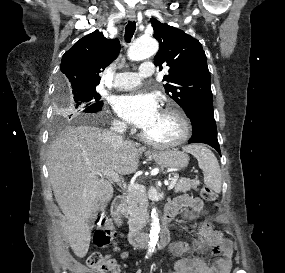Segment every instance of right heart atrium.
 <instances>
[{
	"label": "right heart atrium",
	"instance_id": "1",
	"mask_svg": "<svg viewBox=\"0 0 285 273\" xmlns=\"http://www.w3.org/2000/svg\"><path fill=\"white\" fill-rule=\"evenodd\" d=\"M115 125L119 128V129H123L125 127V124L121 121H116Z\"/></svg>",
	"mask_w": 285,
	"mask_h": 273
}]
</instances>
